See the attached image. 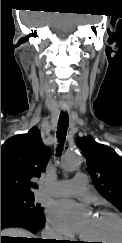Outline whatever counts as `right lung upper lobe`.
Returning <instances> with one entry per match:
<instances>
[{"instance_id":"right-lung-upper-lobe-1","label":"right lung upper lobe","mask_w":122,"mask_h":243,"mask_svg":"<svg viewBox=\"0 0 122 243\" xmlns=\"http://www.w3.org/2000/svg\"><path fill=\"white\" fill-rule=\"evenodd\" d=\"M50 155L41 140L38 128L16 135L1 146V198L33 195Z\"/></svg>"}]
</instances>
